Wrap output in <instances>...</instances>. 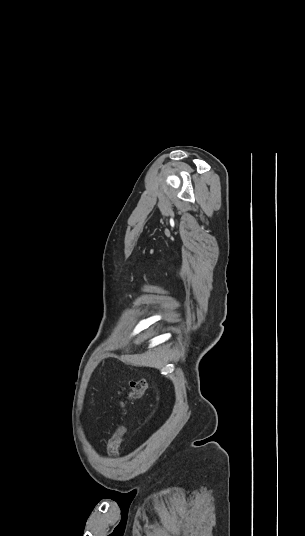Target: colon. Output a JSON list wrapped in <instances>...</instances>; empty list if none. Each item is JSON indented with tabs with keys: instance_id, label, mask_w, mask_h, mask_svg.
Segmentation results:
<instances>
[{
	"instance_id": "colon-1",
	"label": "colon",
	"mask_w": 305,
	"mask_h": 536,
	"mask_svg": "<svg viewBox=\"0 0 305 536\" xmlns=\"http://www.w3.org/2000/svg\"><path fill=\"white\" fill-rule=\"evenodd\" d=\"M147 392V382L145 379H132L130 381V389L127 394L118 400V407L120 409L119 421L116 430L109 441L110 453H115L122 442V438L125 433L124 425V406L127 402L136 401L142 399Z\"/></svg>"
}]
</instances>
